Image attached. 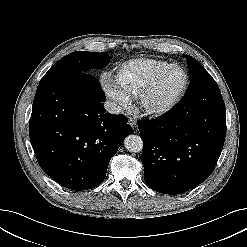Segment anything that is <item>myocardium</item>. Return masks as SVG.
I'll return each mask as SVG.
<instances>
[{
  "instance_id": "1",
  "label": "myocardium",
  "mask_w": 247,
  "mask_h": 247,
  "mask_svg": "<svg viewBox=\"0 0 247 247\" xmlns=\"http://www.w3.org/2000/svg\"><path fill=\"white\" fill-rule=\"evenodd\" d=\"M172 68H179L184 74V82L178 93L167 103L160 106H151L148 103V98L155 89L161 76ZM189 78L186 69L179 64H169L157 70L137 94V101L141 110L151 116H162L172 111L183 98L188 88Z\"/></svg>"
}]
</instances>
